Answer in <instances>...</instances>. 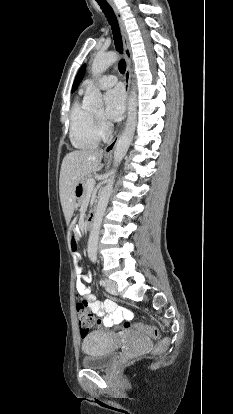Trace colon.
Masks as SVG:
<instances>
[{"mask_svg":"<svg viewBox=\"0 0 233 414\" xmlns=\"http://www.w3.org/2000/svg\"><path fill=\"white\" fill-rule=\"evenodd\" d=\"M67 236H68L70 250L72 252H77L78 243H79V235H78V229L75 224H71L68 227ZM78 295L79 296H78L76 311H77L80 334L82 337H84L89 332L90 329H92L96 325L100 326L101 323H100V320H96L94 318L88 301L80 294ZM123 328L126 330L134 329L153 339H159L161 336L158 328L144 324V323H140V322L132 323L130 321H125L123 324Z\"/></svg>","mask_w":233,"mask_h":414,"instance_id":"1","label":"colon"}]
</instances>
